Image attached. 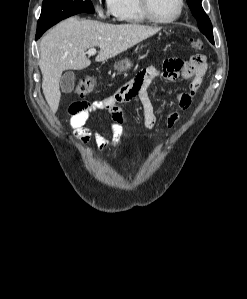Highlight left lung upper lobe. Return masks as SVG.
<instances>
[{
	"label": "left lung upper lobe",
	"mask_w": 247,
	"mask_h": 299,
	"mask_svg": "<svg viewBox=\"0 0 247 299\" xmlns=\"http://www.w3.org/2000/svg\"><path fill=\"white\" fill-rule=\"evenodd\" d=\"M201 1L202 0H187V3L191 9L193 16L198 22L200 31L208 38V40L212 44H214L212 24L209 17L203 10Z\"/></svg>",
	"instance_id": "left-lung-upper-lobe-1"
}]
</instances>
